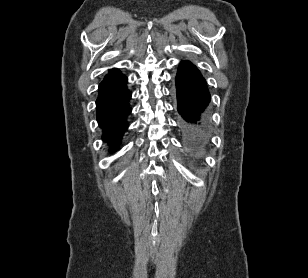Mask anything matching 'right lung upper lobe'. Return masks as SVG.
Returning a JSON list of instances; mask_svg holds the SVG:
<instances>
[{
    "mask_svg": "<svg viewBox=\"0 0 308 278\" xmlns=\"http://www.w3.org/2000/svg\"><path fill=\"white\" fill-rule=\"evenodd\" d=\"M124 75L120 73L117 69H113L109 72L108 75L105 76L103 82L113 81L123 78Z\"/></svg>",
    "mask_w": 308,
    "mask_h": 278,
    "instance_id": "1",
    "label": "right lung upper lobe"
}]
</instances>
